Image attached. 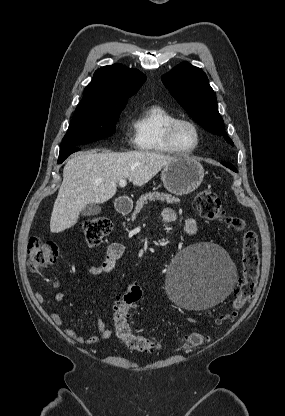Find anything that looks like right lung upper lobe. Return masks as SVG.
Wrapping results in <instances>:
<instances>
[{"label": "right lung upper lobe", "mask_w": 285, "mask_h": 416, "mask_svg": "<svg viewBox=\"0 0 285 416\" xmlns=\"http://www.w3.org/2000/svg\"><path fill=\"white\" fill-rule=\"evenodd\" d=\"M145 79L146 76L137 69H129L121 64L104 66L95 71L79 105L100 107L125 104Z\"/></svg>", "instance_id": "obj_1"}]
</instances>
